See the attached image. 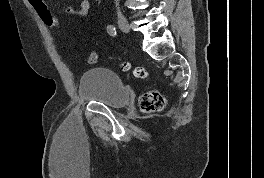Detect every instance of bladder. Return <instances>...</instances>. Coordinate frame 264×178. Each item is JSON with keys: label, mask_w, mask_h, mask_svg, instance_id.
Listing matches in <instances>:
<instances>
[{"label": "bladder", "mask_w": 264, "mask_h": 178, "mask_svg": "<svg viewBox=\"0 0 264 178\" xmlns=\"http://www.w3.org/2000/svg\"><path fill=\"white\" fill-rule=\"evenodd\" d=\"M79 96L82 100L101 102L109 107H123L130 93L120 77L111 69L91 68L79 80Z\"/></svg>", "instance_id": "bladder-1"}]
</instances>
